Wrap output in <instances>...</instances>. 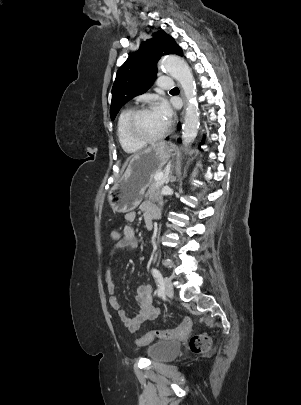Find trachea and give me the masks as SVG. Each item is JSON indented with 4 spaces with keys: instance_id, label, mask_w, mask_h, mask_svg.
I'll return each instance as SVG.
<instances>
[{
    "instance_id": "1",
    "label": "trachea",
    "mask_w": 301,
    "mask_h": 405,
    "mask_svg": "<svg viewBox=\"0 0 301 405\" xmlns=\"http://www.w3.org/2000/svg\"><path fill=\"white\" fill-rule=\"evenodd\" d=\"M172 90H178V87L173 88Z\"/></svg>"
}]
</instances>
